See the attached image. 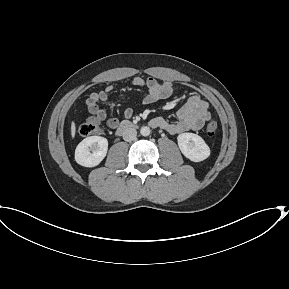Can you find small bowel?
Here are the masks:
<instances>
[{
    "mask_svg": "<svg viewBox=\"0 0 289 289\" xmlns=\"http://www.w3.org/2000/svg\"><path fill=\"white\" fill-rule=\"evenodd\" d=\"M131 85L138 88H146L147 94L141 100L143 105H149L157 101L165 100L171 96L173 85L169 81L160 83L155 78L149 77L143 79L135 77L131 80ZM116 89V86L109 85L104 90L92 93L86 101L88 111L100 121H106L111 129L119 125L117 118H107L104 109L100 107L102 103L109 100V95ZM133 115L132 108L124 110V117L131 118ZM210 118L208 102L199 95H192L187 102L179 109L175 121H168L162 117H156L152 121L157 123V127L171 135H178L187 131H197L201 129L204 123Z\"/></svg>",
    "mask_w": 289,
    "mask_h": 289,
    "instance_id": "1",
    "label": "small bowel"
}]
</instances>
